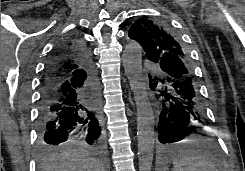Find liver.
<instances>
[{
  "label": "liver",
  "instance_id": "6515ba94",
  "mask_svg": "<svg viewBox=\"0 0 245 171\" xmlns=\"http://www.w3.org/2000/svg\"><path fill=\"white\" fill-rule=\"evenodd\" d=\"M40 171H104V166L85 152L67 150L42 161Z\"/></svg>",
  "mask_w": 245,
  "mask_h": 171
}]
</instances>
